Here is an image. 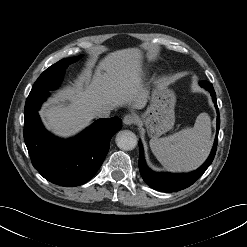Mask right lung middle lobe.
<instances>
[{"mask_svg":"<svg viewBox=\"0 0 247 247\" xmlns=\"http://www.w3.org/2000/svg\"><path fill=\"white\" fill-rule=\"evenodd\" d=\"M77 59L78 57L62 59L46 69L34 83L28 97L37 99L46 96L59 85L67 66Z\"/></svg>","mask_w":247,"mask_h":247,"instance_id":"right-lung-middle-lobe-1","label":"right lung middle lobe"}]
</instances>
